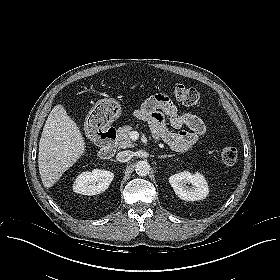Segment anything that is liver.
I'll return each instance as SVG.
<instances>
[{"instance_id": "1", "label": "liver", "mask_w": 280, "mask_h": 280, "mask_svg": "<svg viewBox=\"0 0 280 280\" xmlns=\"http://www.w3.org/2000/svg\"><path fill=\"white\" fill-rule=\"evenodd\" d=\"M84 152L79 127L61 104L54 106L39 142L38 167L44 187H52Z\"/></svg>"}]
</instances>
